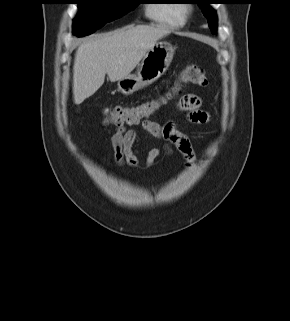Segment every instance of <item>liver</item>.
<instances>
[{
  "mask_svg": "<svg viewBox=\"0 0 290 321\" xmlns=\"http://www.w3.org/2000/svg\"><path fill=\"white\" fill-rule=\"evenodd\" d=\"M170 30L160 26H128L99 35L79 45L73 65V97L81 104L104 83L128 76L147 51Z\"/></svg>",
  "mask_w": 290,
  "mask_h": 321,
  "instance_id": "obj_1",
  "label": "liver"
}]
</instances>
